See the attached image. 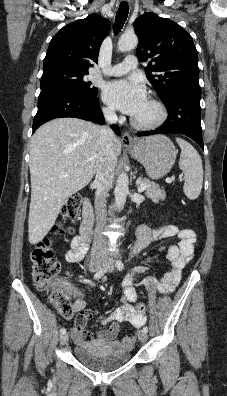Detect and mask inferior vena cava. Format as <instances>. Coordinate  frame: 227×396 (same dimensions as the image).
Wrapping results in <instances>:
<instances>
[{"label": "inferior vena cava", "mask_w": 227, "mask_h": 396, "mask_svg": "<svg viewBox=\"0 0 227 396\" xmlns=\"http://www.w3.org/2000/svg\"><path fill=\"white\" fill-rule=\"evenodd\" d=\"M103 114L105 120L109 124L117 121V116L114 109H104ZM99 142L101 145V152L99 156V165L96 170L94 184L96 186L95 192V214H96V228L94 232L92 254L93 255H107V242L103 236L102 230L106 224V196L112 187L115 167L117 159L112 150V140L115 135L112 129L108 126H102L99 129Z\"/></svg>", "instance_id": "obj_1"}]
</instances>
